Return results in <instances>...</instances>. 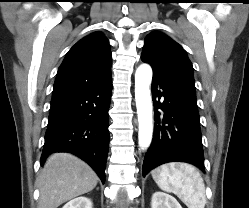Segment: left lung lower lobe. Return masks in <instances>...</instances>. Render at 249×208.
Wrapping results in <instances>:
<instances>
[{"instance_id":"1","label":"left lung lower lobe","mask_w":249,"mask_h":208,"mask_svg":"<svg viewBox=\"0 0 249 208\" xmlns=\"http://www.w3.org/2000/svg\"><path fill=\"white\" fill-rule=\"evenodd\" d=\"M152 98L155 131L142 173L173 161L204 170L202 136L195 91L171 78L153 73Z\"/></svg>"}]
</instances>
